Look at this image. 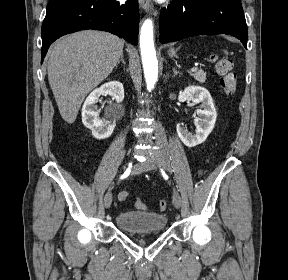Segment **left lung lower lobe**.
<instances>
[{"label": "left lung lower lobe", "instance_id": "left-lung-lower-lobe-1", "mask_svg": "<svg viewBox=\"0 0 288 280\" xmlns=\"http://www.w3.org/2000/svg\"><path fill=\"white\" fill-rule=\"evenodd\" d=\"M200 34L232 35L247 49L248 32L243 9L226 0H174L161 10V43Z\"/></svg>", "mask_w": 288, "mask_h": 280}]
</instances>
